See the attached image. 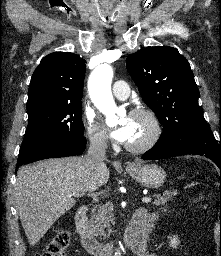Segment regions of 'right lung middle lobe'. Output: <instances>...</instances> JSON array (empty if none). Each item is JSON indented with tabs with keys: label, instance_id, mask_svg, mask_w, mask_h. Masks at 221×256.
I'll return each mask as SVG.
<instances>
[{
	"label": "right lung middle lobe",
	"instance_id": "1",
	"mask_svg": "<svg viewBox=\"0 0 221 256\" xmlns=\"http://www.w3.org/2000/svg\"><path fill=\"white\" fill-rule=\"evenodd\" d=\"M28 126L20 152L50 137L84 135L82 103L45 104L27 109Z\"/></svg>",
	"mask_w": 221,
	"mask_h": 256
}]
</instances>
